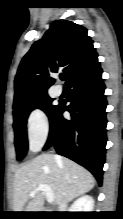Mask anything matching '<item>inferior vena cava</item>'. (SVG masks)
Returning a JSON list of instances; mask_svg holds the SVG:
<instances>
[{
    "instance_id": "obj_1",
    "label": "inferior vena cava",
    "mask_w": 123,
    "mask_h": 219,
    "mask_svg": "<svg viewBox=\"0 0 123 219\" xmlns=\"http://www.w3.org/2000/svg\"><path fill=\"white\" fill-rule=\"evenodd\" d=\"M67 208V201L63 200L59 206L60 212H65Z\"/></svg>"
}]
</instances>
